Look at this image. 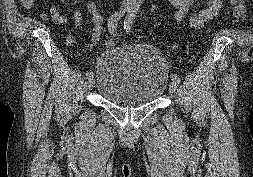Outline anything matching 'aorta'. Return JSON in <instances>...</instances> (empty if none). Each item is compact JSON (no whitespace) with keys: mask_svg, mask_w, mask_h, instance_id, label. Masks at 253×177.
<instances>
[{"mask_svg":"<svg viewBox=\"0 0 253 177\" xmlns=\"http://www.w3.org/2000/svg\"><path fill=\"white\" fill-rule=\"evenodd\" d=\"M133 3L135 4H140L142 3L144 0H131Z\"/></svg>","mask_w":253,"mask_h":177,"instance_id":"762f6f07","label":"aorta"}]
</instances>
